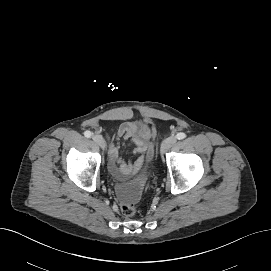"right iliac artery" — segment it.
I'll list each match as a JSON object with an SVG mask.
<instances>
[{"instance_id": "right-iliac-artery-1", "label": "right iliac artery", "mask_w": 271, "mask_h": 271, "mask_svg": "<svg viewBox=\"0 0 271 271\" xmlns=\"http://www.w3.org/2000/svg\"><path fill=\"white\" fill-rule=\"evenodd\" d=\"M84 135H85V137L90 138L92 136V133L87 130L84 132Z\"/></svg>"}]
</instances>
